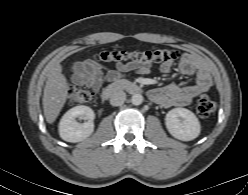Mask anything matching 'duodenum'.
<instances>
[{"mask_svg": "<svg viewBox=\"0 0 248 195\" xmlns=\"http://www.w3.org/2000/svg\"><path fill=\"white\" fill-rule=\"evenodd\" d=\"M119 91H127L131 94H140L143 89L138 84L127 80H114L102 91V97L109 99Z\"/></svg>", "mask_w": 248, "mask_h": 195, "instance_id": "410a0bca", "label": "duodenum"}]
</instances>
